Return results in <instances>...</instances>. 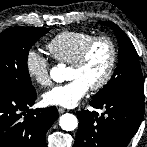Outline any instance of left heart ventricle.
<instances>
[{
	"label": "left heart ventricle",
	"mask_w": 147,
	"mask_h": 147,
	"mask_svg": "<svg viewBox=\"0 0 147 147\" xmlns=\"http://www.w3.org/2000/svg\"><path fill=\"white\" fill-rule=\"evenodd\" d=\"M111 49L107 42L100 41L92 48L86 62L80 68L70 67L67 79H81L91 87L101 80L110 62Z\"/></svg>",
	"instance_id": "b2bd125f"
}]
</instances>
